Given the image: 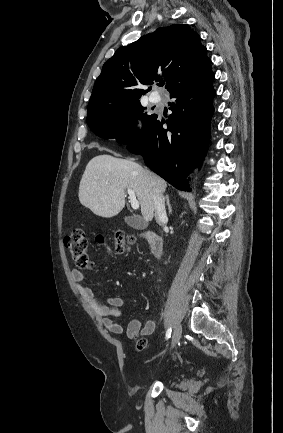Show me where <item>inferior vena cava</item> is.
Masks as SVG:
<instances>
[{"label": "inferior vena cava", "mask_w": 283, "mask_h": 433, "mask_svg": "<svg viewBox=\"0 0 283 433\" xmlns=\"http://www.w3.org/2000/svg\"><path fill=\"white\" fill-rule=\"evenodd\" d=\"M154 204L156 221H158V223H163V221H167L165 200L163 194H154Z\"/></svg>", "instance_id": "obj_1"}]
</instances>
